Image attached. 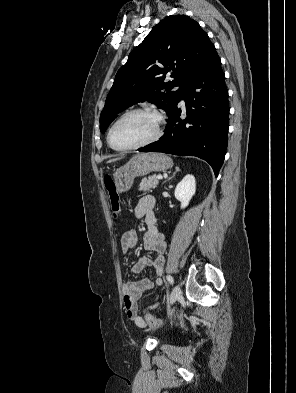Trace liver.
Masks as SVG:
<instances>
[{"mask_svg":"<svg viewBox=\"0 0 296 393\" xmlns=\"http://www.w3.org/2000/svg\"><path fill=\"white\" fill-rule=\"evenodd\" d=\"M117 160H118V158H116V159H111V160L108 161V163H109V162H115V161H117Z\"/></svg>","mask_w":296,"mask_h":393,"instance_id":"liver-1","label":"liver"}]
</instances>
